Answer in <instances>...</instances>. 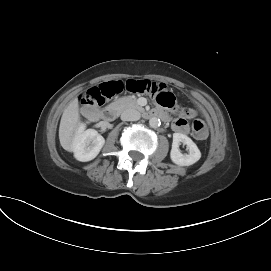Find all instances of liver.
Listing matches in <instances>:
<instances>
[{"label": "liver", "instance_id": "obj_1", "mask_svg": "<svg viewBox=\"0 0 271 271\" xmlns=\"http://www.w3.org/2000/svg\"><path fill=\"white\" fill-rule=\"evenodd\" d=\"M80 125L78 99H74L64 110L59 127L60 144L66 151H72L74 138Z\"/></svg>", "mask_w": 271, "mask_h": 271}]
</instances>
